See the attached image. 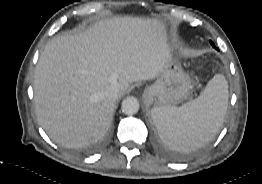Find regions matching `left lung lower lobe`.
Masks as SVG:
<instances>
[{
	"instance_id": "1",
	"label": "left lung lower lobe",
	"mask_w": 262,
	"mask_h": 184,
	"mask_svg": "<svg viewBox=\"0 0 262 184\" xmlns=\"http://www.w3.org/2000/svg\"><path fill=\"white\" fill-rule=\"evenodd\" d=\"M211 43V45L215 48V45H214V43L213 42H210ZM217 49V48H216ZM218 50V49H217Z\"/></svg>"
}]
</instances>
